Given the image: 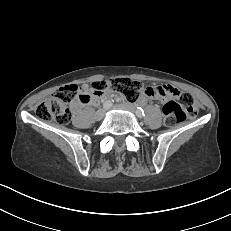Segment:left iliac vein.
I'll return each mask as SVG.
<instances>
[{
    "label": "left iliac vein",
    "instance_id": "1",
    "mask_svg": "<svg viewBox=\"0 0 231 231\" xmlns=\"http://www.w3.org/2000/svg\"><path fill=\"white\" fill-rule=\"evenodd\" d=\"M118 108L128 110L132 113H136V108L133 104L130 103H124V104H119L117 105Z\"/></svg>",
    "mask_w": 231,
    "mask_h": 231
}]
</instances>
